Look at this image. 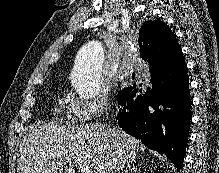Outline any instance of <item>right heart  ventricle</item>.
Wrapping results in <instances>:
<instances>
[{
  "mask_svg": "<svg viewBox=\"0 0 219 173\" xmlns=\"http://www.w3.org/2000/svg\"><path fill=\"white\" fill-rule=\"evenodd\" d=\"M56 112L60 116H69V114H71V104H67L65 101L59 100L58 104L56 105Z\"/></svg>",
  "mask_w": 219,
  "mask_h": 173,
  "instance_id": "right-heart-ventricle-1",
  "label": "right heart ventricle"
}]
</instances>
